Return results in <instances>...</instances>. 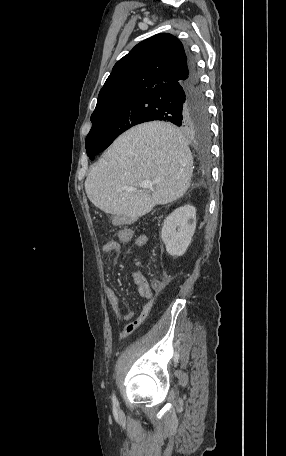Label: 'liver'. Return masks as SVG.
I'll return each instance as SVG.
<instances>
[{
  "mask_svg": "<svg viewBox=\"0 0 286 456\" xmlns=\"http://www.w3.org/2000/svg\"><path fill=\"white\" fill-rule=\"evenodd\" d=\"M192 173L193 158L179 129L170 123L148 122L113 142L90 171L85 191L97 208L134 222L156 204L182 197ZM144 180L154 182L152 195L141 190Z\"/></svg>",
  "mask_w": 286,
  "mask_h": 456,
  "instance_id": "6515ba94",
  "label": "liver"
}]
</instances>
